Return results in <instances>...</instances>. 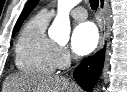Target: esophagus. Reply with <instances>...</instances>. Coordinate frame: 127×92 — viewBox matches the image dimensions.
I'll use <instances>...</instances> for the list:
<instances>
[{"label":"esophagus","mask_w":127,"mask_h":92,"mask_svg":"<svg viewBox=\"0 0 127 92\" xmlns=\"http://www.w3.org/2000/svg\"><path fill=\"white\" fill-rule=\"evenodd\" d=\"M107 7H108V0H99V9H100L102 18H101V24H100V41L98 45V50L103 48L106 37H107V16H106Z\"/></svg>","instance_id":"obj_1"}]
</instances>
